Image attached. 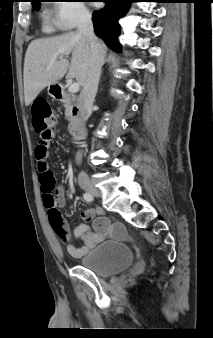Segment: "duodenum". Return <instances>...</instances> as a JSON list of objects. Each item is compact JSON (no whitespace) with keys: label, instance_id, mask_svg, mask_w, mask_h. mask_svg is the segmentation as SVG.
<instances>
[{"label":"duodenum","instance_id":"1","mask_svg":"<svg viewBox=\"0 0 213 338\" xmlns=\"http://www.w3.org/2000/svg\"><path fill=\"white\" fill-rule=\"evenodd\" d=\"M53 96L55 99H61L64 96V87L61 85H55L52 90ZM80 108L77 105H74L72 108V120L70 122V127L72 133L76 137H82L85 135V132L81 130L80 124Z\"/></svg>","mask_w":213,"mask_h":338}]
</instances>
